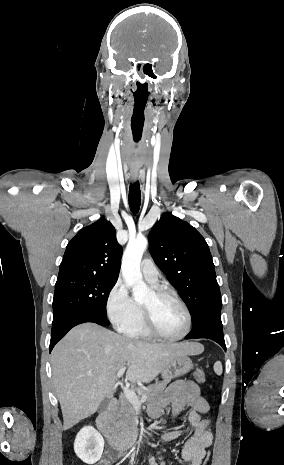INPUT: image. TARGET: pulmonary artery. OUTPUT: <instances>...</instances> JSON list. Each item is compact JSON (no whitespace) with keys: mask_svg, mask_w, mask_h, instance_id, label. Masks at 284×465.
I'll use <instances>...</instances> for the list:
<instances>
[{"mask_svg":"<svg viewBox=\"0 0 284 465\" xmlns=\"http://www.w3.org/2000/svg\"><path fill=\"white\" fill-rule=\"evenodd\" d=\"M141 274L147 282L153 285H156L159 282V271L157 267L146 259L141 265Z\"/></svg>","mask_w":284,"mask_h":465,"instance_id":"obj_1","label":"pulmonary artery"}]
</instances>
